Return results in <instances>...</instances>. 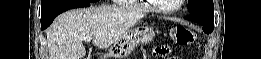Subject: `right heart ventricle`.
I'll return each mask as SVG.
<instances>
[{"label": "right heart ventricle", "mask_w": 261, "mask_h": 59, "mask_svg": "<svg viewBox=\"0 0 261 59\" xmlns=\"http://www.w3.org/2000/svg\"><path fill=\"white\" fill-rule=\"evenodd\" d=\"M118 2L126 6H132L133 4L136 5V1L134 0H118ZM144 10L148 11L149 9L145 8Z\"/></svg>", "instance_id": "1"}]
</instances>
